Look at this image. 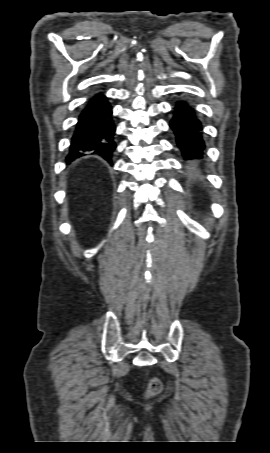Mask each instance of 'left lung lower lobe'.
Masks as SVG:
<instances>
[{
    "label": "left lung lower lobe",
    "mask_w": 270,
    "mask_h": 453,
    "mask_svg": "<svg viewBox=\"0 0 270 453\" xmlns=\"http://www.w3.org/2000/svg\"><path fill=\"white\" fill-rule=\"evenodd\" d=\"M170 127L175 133L177 146L184 157L202 154L205 148L202 138L203 126L195 110L186 101L177 102Z\"/></svg>",
    "instance_id": "left-lung-lower-lobe-1"
}]
</instances>
